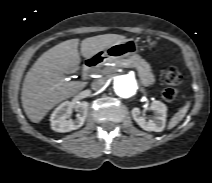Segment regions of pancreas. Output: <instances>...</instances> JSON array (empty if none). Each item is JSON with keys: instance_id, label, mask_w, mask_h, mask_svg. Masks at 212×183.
I'll return each instance as SVG.
<instances>
[{"instance_id": "1", "label": "pancreas", "mask_w": 212, "mask_h": 183, "mask_svg": "<svg viewBox=\"0 0 212 183\" xmlns=\"http://www.w3.org/2000/svg\"><path fill=\"white\" fill-rule=\"evenodd\" d=\"M115 63L118 67L135 68L138 71V76L141 80V83L146 87L151 86L155 82L151 66L139 55H133L128 58L119 59Z\"/></svg>"}]
</instances>
